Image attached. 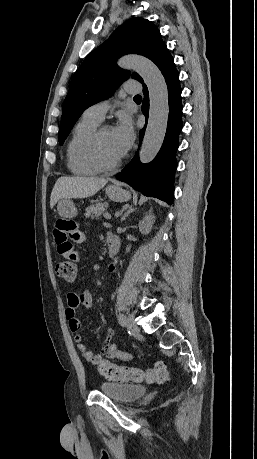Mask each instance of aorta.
<instances>
[{"instance_id":"obj_1","label":"aorta","mask_w":257,"mask_h":459,"mask_svg":"<svg viewBox=\"0 0 257 459\" xmlns=\"http://www.w3.org/2000/svg\"><path fill=\"white\" fill-rule=\"evenodd\" d=\"M119 65L133 68L144 80L149 91V119L140 150L142 163L151 162L160 150L167 129L169 104L166 81L158 67L141 56H126Z\"/></svg>"}]
</instances>
